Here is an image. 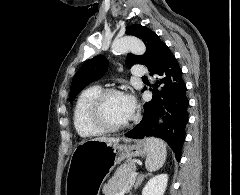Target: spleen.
<instances>
[{
    "label": "spleen",
    "mask_w": 240,
    "mask_h": 195,
    "mask_svg": "<svg viewBox=\"0 0 240 195\" xmlns=\"http://www.w3.org/2000/svg\"><path fill=\"white\" fill-rule=\"evenodd\" d=\"M148 153L146 167L148 171H157L164 165L167 157L166 143L159 137H147Z\"/></svg>",
    "instance_id": "obj_1"
}]
</instances>
